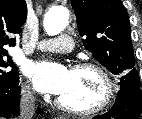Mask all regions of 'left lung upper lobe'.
I'll return each instance as SVG.
<instances>
[{"label":"left lung upper lobe","mask_w":142,"mask_h":119,"mask_svg":"<svg viewBox=\"0 0 142 119\" xmlns=\"http://www.w3.org/2000/svg\"><path fill=\"white\" fill-rule=\"evenodd\" d=\"M85 48L111 73L121 88L141 86L135 69L130 23L121 0H72Z\"/></svg>","instance_id":"5c2ea615"}]
</instances>
